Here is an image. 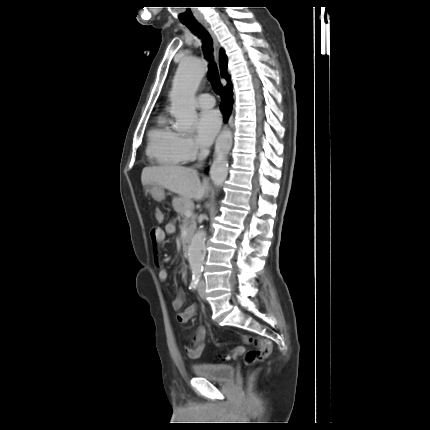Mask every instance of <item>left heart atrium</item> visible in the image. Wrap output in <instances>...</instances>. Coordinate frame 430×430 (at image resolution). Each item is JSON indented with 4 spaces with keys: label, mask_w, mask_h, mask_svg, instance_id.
Wrapping results in <instances>:
<instances>
[{
    "label": "left heart atrium",
    "mask_w": 430,
    "mask_h": 430,
    "mask_svg": "<svg viewBox=\"0 0 430 430\" xmlns=\"http://www.w3.org/2000/svg\"><path fill=\"white\" fill-rule=\"evenodd\" d=\"M220 125V114L216 110L201 112L195 124L198 143L202 146H209L215 138Z\"/></svg>",
    "instance_id": "left-heart-atrium-1"
}]
</instances>
